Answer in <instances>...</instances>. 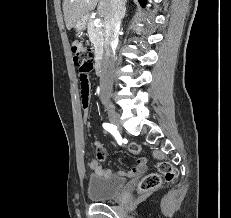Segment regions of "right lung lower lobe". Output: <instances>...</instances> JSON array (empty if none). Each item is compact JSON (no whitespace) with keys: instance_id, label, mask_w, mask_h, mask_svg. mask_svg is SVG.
<instances>
[{"instance_id":"obj_1","label":"right lung lower lobe","mask_w":231,"mask_h":218,"mask_svg":"<svg viewBox=\"0 0 231 218\" xmlns=\"http://www.w3.org/2000/svg\"><path fill=\"white\" fill-rule=\"evenodd\" d=\"M139 2L141 3L142 6H144L146 3V0H139Z\"/></svg>"}]
</instances>
